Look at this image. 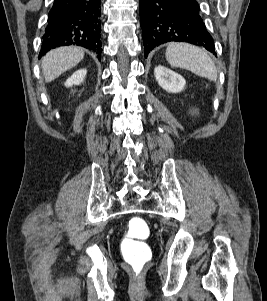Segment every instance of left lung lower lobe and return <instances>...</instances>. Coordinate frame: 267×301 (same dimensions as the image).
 I'll list each match as a JSON object with an SVG mask.
<instances>
[{"label": "left lung lower lobe", "mask_w": 267, "mask_h": 301, "mask_svg": "<svg viewBox=\"0 0 267 301\" xmlns=\"http://www.w3.org/2000/svg\"><path fill=\"white\" fill-rule=\"evenodd\" d=\"M139 8L145 58L153 48L171 41L196 44L216 56L196 0H140Z\"/></svg>", "instance_id": "obj_1"}]
</instances>
